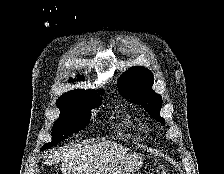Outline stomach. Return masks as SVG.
Listing matches in <instances>:
<instances>
[{"label": "stomach", "instance_id": "1", "mask_svg": "<svg viewBox=\"0 0 224 174\" xmlns=\"http://www.w3.org/2000/svg\"><path fill=\"white\" fill-rule=\"evenodd\" d=\"M142 159L138 154H127L122 159L114 161L94 170L89 174H133L141 166Z\"/></svg>", "mask_w": 224, "mask_h": 174}]
</instances>
